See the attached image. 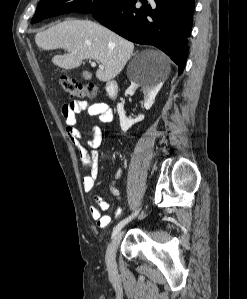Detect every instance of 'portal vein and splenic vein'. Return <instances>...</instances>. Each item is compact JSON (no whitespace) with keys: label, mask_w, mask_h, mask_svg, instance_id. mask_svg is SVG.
Segmentation results:
<instances>
[{"label":"portal vein and splenic vein","mask_w":247,"mask_h":299,"mask_svg":"<svg viewBox=\"0 0 247 299\" xmlns=\"http://www.w3.org/2000/svg\"><path fill=\"white\" fill-rule=\"evenodd\" d=\"M91 66H92V67H95V66H96V62H92V63H91ZM99 68H103V66H102V65H99Z\"/></svg>","instance_id":"18ae733b"}]
</instances>
